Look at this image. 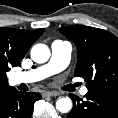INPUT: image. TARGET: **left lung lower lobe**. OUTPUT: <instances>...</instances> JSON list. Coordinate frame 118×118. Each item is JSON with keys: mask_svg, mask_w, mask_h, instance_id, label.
Wrapping results in <instances>:
<instances>
[{"mask_svg": "<svg viewBox=\"0 0 118 118\" xmlns=\"http://www.w3.org/2000/svg\"><path fill=\"white\" fill-rule=\"evenodd\" d=\"M73 108L67 118H118V97L87 92L85 100L69 94Z\"/></svg>", "mask_w": 118, "mask_h": 118, "instance_id": "0a47b994", "label": "left lung lower lobe"}]
</instances>
